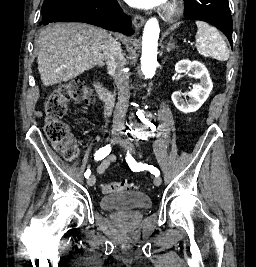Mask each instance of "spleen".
<instances>
[{
  "instance_id": "3e777b00",
  "label": "spleen",
  "mask_w": 256,
  "mask_h": 267,
  "mask_svg": "<svg viewBox=\"0 0 256 267\" xmlns=\"http://www.w3.org/2000/svg\"><path fill=\"white\" fill-rule=\"evenodd\" d=\"M195 24L198 28L195 36L198 52L208 58H215L219 62H227L229 48L217 28H212L206 22H195Z\"/></svg>"
}]
</instances>
